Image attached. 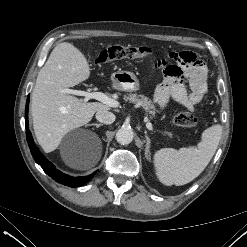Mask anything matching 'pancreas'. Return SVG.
<instances>
[{"mask_svg":"<svg viewBox=\"0 0 247 247\" xmlns=\"http://www.w3.org/2000/svg\"><path fill=\"white\" fill-rule=\"evenodd\" d=\"M124 100L141 106L151 118L155 117V106L148 97L131 93L124 96Z\"/></svg>","mask_w":247,"mask_h":247,"instance_id":"1","label":"pancreas"}]
</instances>
